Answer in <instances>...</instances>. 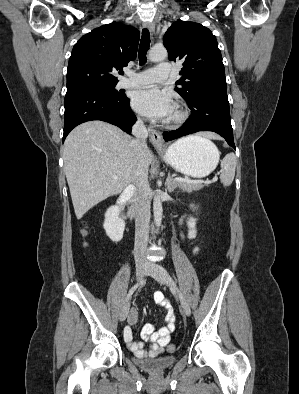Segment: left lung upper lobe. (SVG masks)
Wrapping results in <instances>:
<instances>
[{
    "mask_svg": "<svg viewBox=\"0 0 299 394\" xmlns=\"http://www.w3.org/2000/svg\"><path fill=\"white\" fill-rule=\"evenodd\" d=\"M163 44L171 61L182 60V76L175 91L186 102L207 88H226L225 71L216 37L199 23L177 20L166 31Z\"/></svg>",
    "mask_w": 299,
    "mask_h": 394,
    "instance_id": "1",
    "label": "left lung upper lobe"
}]
</instances>
